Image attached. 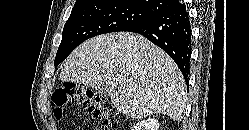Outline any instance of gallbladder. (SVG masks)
<instances>
[{"instance_id": "gallbladder-1", "label": "gallbladder", "mask_w": 249, "mask_h": 130, "mask_svg": "<svg viewBox=\"0 0 249 130\" xmlns=\"http://www.w3.org/2000/svg\"><path fill=\"white\" fill-rule=\"evenodd\" d=\"M99 94H101L102 96H105V97L109 96V88L106 86L101 87L99 89Z\"/></svg>"}]
</instances>
